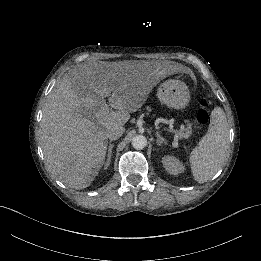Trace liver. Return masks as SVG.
Here are the masks:
<instances>
[{"mask_svg":"<svg viewBox=\"0 0 261 261\" xmlns=\"http://www.w3.org/2000/svg\"><path fill=\"white\" fill-rule=\"evenodd\" d=\"M161 67L90 63L69 69L48 95L40 122L49 172L72 189L89 187L106 160L107 132L143 107L162 80Z\"/></svg>","mask_w":261,"mask_h":261,"instance_id":"obj_1","label":"liver"}]
</instances>
